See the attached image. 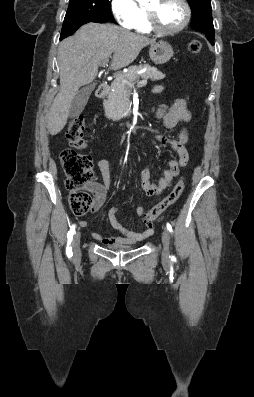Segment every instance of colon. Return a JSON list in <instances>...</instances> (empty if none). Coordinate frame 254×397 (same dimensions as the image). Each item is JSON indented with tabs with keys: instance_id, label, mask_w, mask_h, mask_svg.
Listing matches in <instances>:
<instances>
[{
	"instance_id": "5ec220e1",
	"label": "colon",
	"mask_w": 254,
	"mask_h": 397,
	"mask_svg": "<svg viewBox=\"0 0 254 397\" xmlns=\"http://www.w3.org/2000/svg\"><path fill=\"white\" fill-rule=\"evenodd\" d=\"M202 48V43L198 40H193L188 45V50L193 55L200 54ZM85 129L86 123L82 116H78L70 122L66 138L72 148L64 150L60 157L65 174V184L69 191L70 209L77 216L86 214L94 201L88 190L93 178V162L90 156L78 151L85 147L83 138ZM183 188L184 181L181 179L164 199L144 215V221L152 223L159 219L162 213L177 201Z\"/></svg>"
}]
</instances>
